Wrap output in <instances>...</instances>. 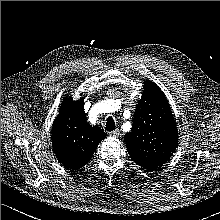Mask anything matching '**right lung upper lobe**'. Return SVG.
I'll use <instances>...</instances> for the list:
<instances>
[{
    "label": "right lung upper lobe",
    "instance_id": "1",
    "mask_svg": "<svg viewBox=\"0 0 220 220\" xmlns=\"http://www.w3.org/2000/svg\"><path fill=\"white\" fill-rule=\"evenodd\" d=\"M107 134L87 123L84 100L64 98L52 126V146L56 157L71 171H77L92 158Z\"/></svg>",
    "mask_w": 220,
    "mask_h": 220
}]
</instances>
